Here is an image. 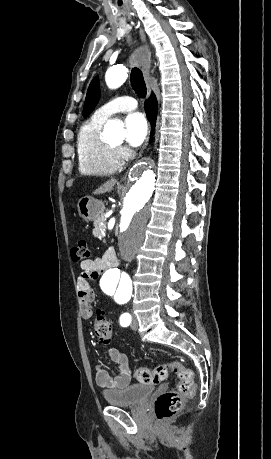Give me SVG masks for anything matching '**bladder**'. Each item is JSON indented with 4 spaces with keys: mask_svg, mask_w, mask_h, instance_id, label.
<instances>
[{
    "mask_svg": "<svg viewBox=\"0 0 271 459\" xmlns=\"http://www.w3.org/2000/svg\"><path fill=\"white\" fill-rule=\"evenodd\" d=\"M155 390L150 384H131L123 390H105V402L110 405H142Z\"/></svg>",
    "mask_w": 271,
    "mask_h": 459,
    "instance_id": "31cf9c89",
    "label": "bladder"
}]
</instances>
